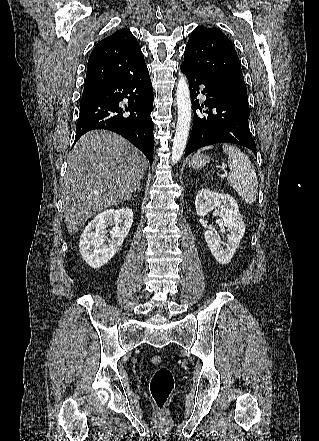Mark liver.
Instances as JSON below:
<instances>
[{"label":"liver","instance_id":"obj_1","mask_svg":"<svg viewBox=\"0 0 319 441\" xmlns=\"http://www.w3.org/2000/svg\"><path fill=\"white\" fill-rule=\"evenodd\" d=\"M62 200L67 230L76 233L94 214L130 200L148 169V160L116 133L84 134L67 159Z\"/></svg>","mask_w":319,"mask_h":441}]
</instances>
